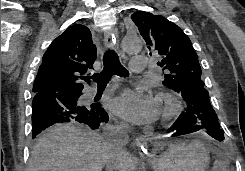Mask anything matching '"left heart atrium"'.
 <instances>
[{
    "label": "left heart atrium",
    "mask_w": 245,
    "mask_h": 171,
    "mask_svg": "<svg viewBox=\"0 0 245 171\" xmlns=\"http://www.w3.org/2000/svg\"><path fill=\"white\" fill-rule=\"evenodd\" d=\"M110 106L115 114L135 124L150 123L160 114L158 100L144 88L125 90Z\"/></svg>",
    "instance_id": "obj_1"
}]
</instances>
